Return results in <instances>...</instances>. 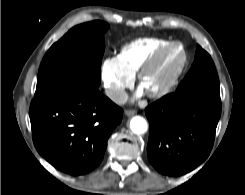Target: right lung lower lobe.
I'll return each instance as SVG.
<instances>
[{"mask_svg": "<svg viewBox=\"0 0 245 195\" xmlns=\"http://www.w3.org/2000/svg\"><path fill=\"white\" fill-rule=\"evenodd\" d=\"M123 110L96 87H73L34 98L30 105L33 142L58 170L78 176L102 161L107 140Z\"/></svg>", "mask_w": 245, "mask_h": 195, "instance_id": "98d812e1", "label": "right lung lower lobe"}]
</instances>
